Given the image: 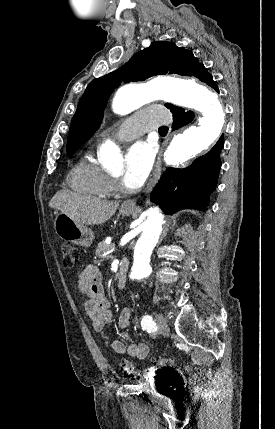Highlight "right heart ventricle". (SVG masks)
<instances>
[{
  "label": "right heart ventricle",
  "mask_w": 275,
  "mask_h": 429,
  "mask_svg": "<svg viewBox=\"0 0 275 429\" xmlns=\"http://www.w3.org/2000/svg\"><path fill=\"white\" fill-rule=\"evenodd\" d=\"M69 185L73 190L94 198H106L113 190L110 175L91 153H88L72 169Z\"/></svg>",
  "instance_id": "right-heart-ventricle-1"
}]
</instances>
